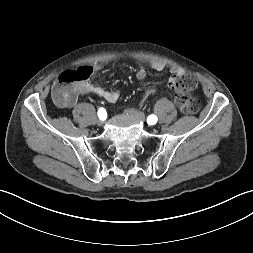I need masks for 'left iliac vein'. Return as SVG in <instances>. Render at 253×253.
<instances>
[{
	"label": "left iliac vein",
	"mask_w": 253,
	"mask_h": 253,
	"mask_svg": "<svg viewBox=\"0 0 253 253\" xmlns=\"http://www.w3.org/2000/svg\"><path fill=\"white\" fill-rule=\"evenodd\" d=\"M126 113L129 116L134 117V118H136V119H138V120H140L142 122L145 120L144 114L141 113V112H139V111H137V110H135V109H127Z\"/></svg>",
	"instance_id": "4c4485c4"
}]
</instances>
